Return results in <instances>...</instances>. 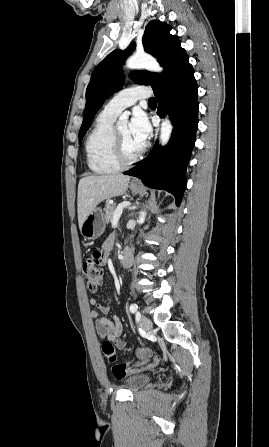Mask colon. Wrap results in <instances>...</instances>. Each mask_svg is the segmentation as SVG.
Listing matches in <instances>:
<instances>
[{
	"label": "colon",
	"instance_id": "5ec220e1",
	"mask_svg": "<svg viewBox=\"0 0 269 447\" xmlns=\"http://www.w3.org/2000/svg\"><path fill=\"white\" fill-rule=\"evenodd\" d=\"M105 264V257L103 251H94L90 257L82 263V274L87 285V289L90 293H95L101 286L103 281V267ZM102 351L107 360L111 363H115L117 359V351L110 343H103ZM141 354H145L146 351L140 350ZM158 358H151L142 362L135 363H115L111 368L112 376L121 380L124 377L133 373L145 371L147 369L154 368L159 363Z\"/></svg>",
	"mask_w": 269,
	"mask_h": 447
}]
</instances>
